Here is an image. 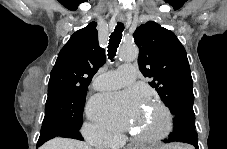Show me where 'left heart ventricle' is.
I'll use <instances>...</instances> for the list:
<instances>
[{
    "label": "left heart ventricle",
    "mask_w": 227,
    "mask_h": 149,
    "mask_svg": "<svg viewBox=\"0 0 227 149\" xmlns=\"http://www.w3.org/2000/svg\"><path fill=\"white\" fill-rule=\"evenodd\" d=\"M163 123L164 118L161 111L148 103L144 109H140L137 113L133 128L138 135H148L161 129Z\"/></svg>",
    "instance_id": "left-heart-ventricle-1"
}]
</instances>
